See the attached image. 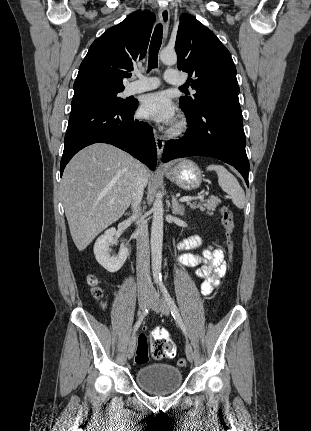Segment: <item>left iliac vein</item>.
Instances as JSON below:
<instances>
[{"mask_svg": "<svg viewBox=\"0 0 311 431\" xmlns=\"http://www.w3.org/2000/svg\"><path fill=\"white\" fill-rule=\"evenodd\" d=\"M149 306L152 310L159 312L165 316H168L170 313L167 302L163 298H161L159 293L155 290H151ZM185 352L188 361L192 362L194 360V351L189 343H186Z\"/></svg>", "mask_w": 311, "mask_h": 431, "instance_id": "4c4485c4", "label": "left iliac vein"}]
</instances>
